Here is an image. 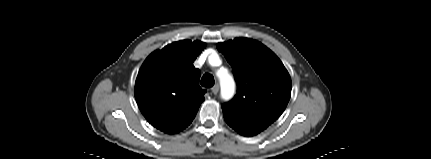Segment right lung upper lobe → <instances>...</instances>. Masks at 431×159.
Masks as SVG:
<instances>
[{
	"instance_id": "right-lung-upper-lobe-1",
	"label": "right lung upper lobe",
	"mask_w": 431,
	"mask_h": 159,
	"mask_svg": "<svg viewBox=\"0 0 431 159\" xmlns=\"http://www.w3.org/2000/svg\"><path fill=\"white\" fill-rule=\"evenodd\" d=\"M205 43L182 40L150 54L135 83V98L147 121L175 134L193 121L206 92L199 86L200 71L194 60Z\"/></svg>"
}]
</instances>
